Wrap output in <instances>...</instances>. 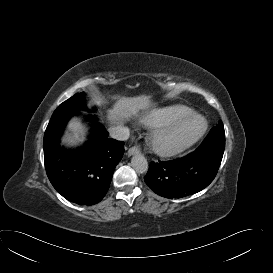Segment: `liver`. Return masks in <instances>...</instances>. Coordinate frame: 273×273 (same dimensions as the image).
<instances>
[{
  "mask_svg": "<svg viewBox=\"0 0 273 273\" xmlns=\"http://www.w3.org/2000/svg\"><path fill=\"white\" fill-rule=\"evenodd\" d=\"M113 98L117 99V101L113 108L109 110L107 117L112 124H122L124 119L137 116L139 111L146 110L151 105L150 97L146 95L137 97L115 96ZM85 139L84 128L78 120L74 119L69 123L62 142L74 146L83 143Z\"/></svg>",
  "mask_w": 273,
  "mask_h": 273,
  "instance_id": "obj_1",
  "label": "liver"
}]
</instances>
